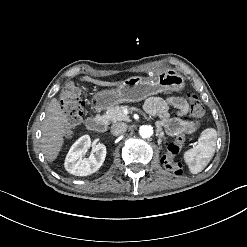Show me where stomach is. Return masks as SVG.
Returning <instances> with one entry per match:
<instances>
[{
  "label": "stomach",
  "mask_w": 247,
  "mask_h": 247,
  "mask_svg": "<svg viewBox=\"0 0 247 247\" xmlns=\"http://www.w3.org/2000/svg\"><path fill=\"white\" fill-rule=\"evenodd\" d=\"M184 77L175 69H163L155 77H130L116 89L102 90L93 97L95 109L104 110L123 102H139L148 96L164 91H181L185 87Z\"/></svg>",
  "instance_id": "0dacf381"
}]
</instances>
